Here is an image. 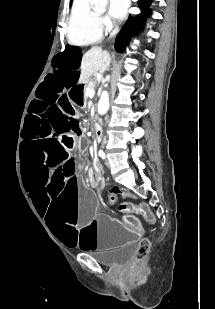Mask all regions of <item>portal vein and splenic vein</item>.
Wrapping results in <instances>:
<instances>
[{
    "mask_svg": "<svg viewBox=\"0 0 215 309\" xmlns=\"http://www.w3.org/2000/svg\"><path fill=\"white\" fill-rule=\"evenodd\" d=\"M87 90H89V96H94V88H87Z\"/></svg>",
    "mask_w": 215,
    "mask_h": 309,
    "instance_id": "obj_1",
    "label": "portal vein and splenic vein"
}]
</instances>
